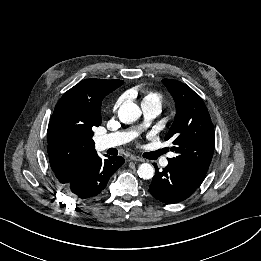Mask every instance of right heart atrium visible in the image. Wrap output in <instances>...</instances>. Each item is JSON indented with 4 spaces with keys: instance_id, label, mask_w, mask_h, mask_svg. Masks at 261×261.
I'll use <instances>...</instances> for the list:
<instances>
[{
    "instance_id": "obj_1",
    "label": "right heart atrium",
    "mask_w": 261,
    "mask_h": 261,
    "mask_svg": "<svg viewBox=\"0 0 261 261\" xmlns=\"http://www.w3.org/2000/svg\"><path fill=\"white\" fill-rule=\"evenodd\" d=\"M122 101H123V97L119 98V99L115 102V104H114V106H113V112H116V111H117V109H118L119 105L122 103Z\"/></svg>"
}]
</instances>
